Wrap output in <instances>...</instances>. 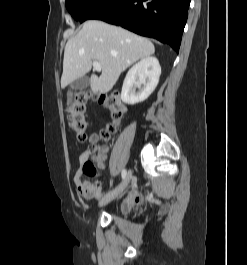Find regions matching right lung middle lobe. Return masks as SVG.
Returning a JSON list of instances; mask_svg holds the SVG:
<instances>
[{
  "label": "right lung middle lobe",
  "instance_id": "1",
  "mask_svg": "<svg viewBox=\"0 0 247 265\" xmlns=\"http://www.w3.org/2000/svg\"><path fill=\"white\" fill-rule=\"evenodd\" d=\"M99 0H66V7L73 18L79 21Z\"/></svg>",
  "mask_w": 247,
  "mask_h": 265
}]
</instances>
